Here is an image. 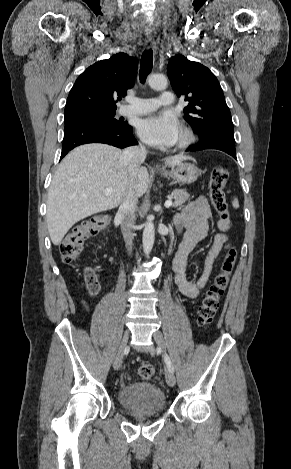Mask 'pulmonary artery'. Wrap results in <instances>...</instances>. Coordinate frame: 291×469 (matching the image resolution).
I'll return each mask as SVG.
<instances>
[{
	"label": "pulmonary artery",
	"mask_w": 291,
	"mask_h": 469,
	"mask_svg": "<svg viewBox=\"0 0 291 469\" xmlns=\"http://www.w3.org/2000/svg\"><path fill=\"white\" fill-rule=\"evenodd\" d=\"M173 104V94L169 91L161 92L158 98H131L129 104L120 109L122 115H141L152 112L160 106L168 107Z\"/></svg>",
	"instance_id": "e3ab8cb5"
}]
</instances>
